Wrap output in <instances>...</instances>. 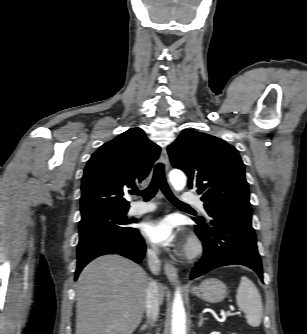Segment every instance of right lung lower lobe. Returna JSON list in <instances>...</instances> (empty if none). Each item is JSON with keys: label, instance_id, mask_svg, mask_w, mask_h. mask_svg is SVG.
<instances>
[{"label": "right lung lower lobe", "instance_id": "right-lung-lower-lobe-1", "mask_svg": "<svg viewBox=\"0 0 307 334\" xmlns=\"http://www.w3.org/2000/svg\"><path fill=\"white\" fill-rule=\"evenodd\" d=\"M145 250L146 246L139 231H137L132 238L123 243H109L93 247L89 251H86L82 255L78 256L75 279H77L83 267L98 256L106 254H119L135 261L136 263H139L145 254Z\"/></svg>", "mask_w": 307, "mask_h": 334}]
</instances>
